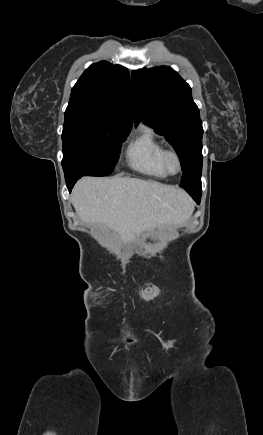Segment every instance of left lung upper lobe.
<instances>
[{"label":"left lung upper lobe","mask_w":263,"mask_h":435,"mask_svg":"<svg viewBox=\"0 0 263 435\" xmlns=\"http://www.w3.org/2000/svg\"><path fill=\"white\" fill-rule=\"evenodd\" d=\"M132 82L136 124L143 120L174 147L183 171L181 187L201 184L203 129L188 83L165 66L134 71Z\"/></svg>","instance_id":"5c2ea615"}]
</instances>
